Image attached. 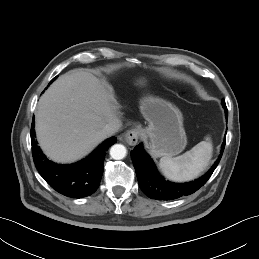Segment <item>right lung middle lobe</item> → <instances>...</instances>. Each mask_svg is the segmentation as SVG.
Instances as JSON below:
<instances>
[{"mask_svg":"<svg viewBox=\"0 0 259 259\" xmlns=\"http://www.w3.org/2000/svg\"><path fill=\"white\" fill-rule=\"evenodd\" d=\"M55 78H57V76H56ZM55 78H53L52 81L55 80ZM52 81H51V82H52Z\"/></svg>","mask_w":259,"mask_h":259,"instance_id":"right-lung-middle-lobe-1","label":"right lung middle lobe"}]
</instances>
